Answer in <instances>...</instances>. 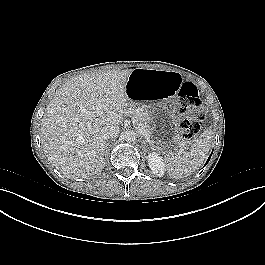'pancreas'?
Listing matches in <instances>:
<instances>
[{
	"instance_id": "1",
	"label": "pancreas",
	"mask_w": 265,
	"mask_h": 265,
	"mask_svg": "<svg viewBox=\"0 0 265 265\" xmlns=\"http://www.w3.org/2000/svg\"><path fill=\"white\" fill-rule=\"evenodd\" d=\"M125 114L132 117V120L136 126H140L144 132L149 135V128L146 123L148 119V114L140 108H127L125 109Z\"/></svg>"
}]
</instances>
